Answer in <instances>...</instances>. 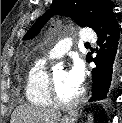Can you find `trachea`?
<instances>
[{"instance_id":"3493384b","label":"trachea","mask_w":122,"mask_h":123,"mask_svg":"<svg viewBox=\"0 0 122 123\" xmlns=\"http://www.w3.org/2000/svg\"><path fill=\"white\" fill-rule=\"evenodd\" d=\"M85 46H90V44L89 43H86Z\"/></svg>"}]
</instances>
